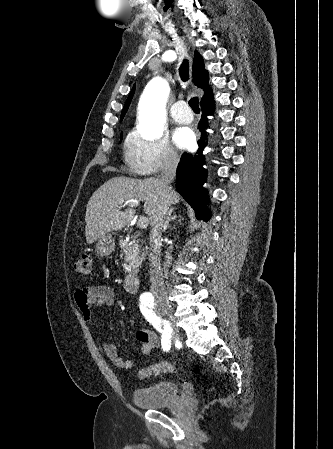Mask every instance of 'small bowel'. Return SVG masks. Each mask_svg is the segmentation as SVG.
I'll use <instances>...</instances> for the list:
<instances>
[{"label": "small bowel", "mask_w": 333, "mask_h": 449, "mask_svg": "<svg viewBox=\"0 0 333 449\" xmlns=\"http://www.w3.org/2000/svg\"><path fill=\"white\" fill-rule=\"evenodd\" d=\"M74 299L84 322L93 326L95 322L94 308L112 306L115 301V292L107 285L82 287L76 289ZM136 339L140 343V351L143 355L149 354L159 343L157 335L145 328L137 331ZM103 350L116 367L132 368L133 361L120 356L115 344L106 342L103 344Z\"/></svg>", "instance_id": "c3829d8e"}]
</instances>
